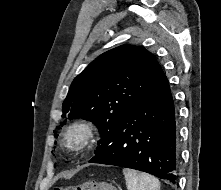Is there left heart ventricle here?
I'll list each match as a JSON object with an SVG mask.
<instances>
[{
    "mask_svg": "<svg viewBox=\"0 0 221 190\" xmlns=\"http://www.w3.org/2000/svg\"><path fill=\"white\" fill-rule=\"evenodd\" d=\"M70 140H71V142L74 143V142H76L77 138L73 135V136L70 137Z\"/></svg>",
    "mask_w": 221,
    "mask_h": 190,
    "instance_id": "obj_1",
    "label": "left heart ventricle"
}]
</instances>
